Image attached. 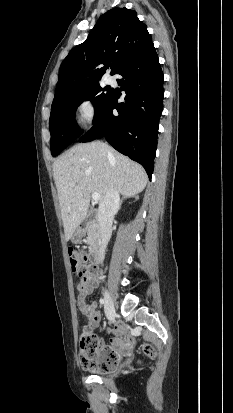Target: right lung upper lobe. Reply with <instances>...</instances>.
Instances as JSON below:
<instances>
[{"label": "right lung upper lobe", "instance_id": "1", "mask_svg": "<svg viewBox=\"0 0 233 413\" xmlns=\"http://www.w3.org/2000/svg\"><path fill=\"white\" fill-rule=\"evenodd\" d=\"M151 42L146 25L135 11L125 7L107 11L86 41L74 47L63 60L53 103L99 83L106 67H111V75L116 74L124 62Z\"/></svg>", "mask_w": 233, "mask_h": 413}]
</instances>
